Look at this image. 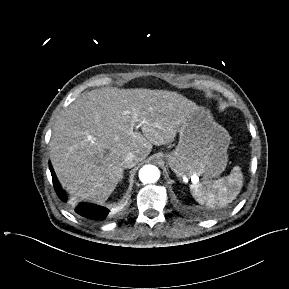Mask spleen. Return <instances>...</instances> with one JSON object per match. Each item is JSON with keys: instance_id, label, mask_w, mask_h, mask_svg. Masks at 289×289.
Segmentation results:
<instances>
[{"instance_id": "1", "label": "spleen", "mask_w": 289, "mask_h": 289, "mask_svg": "<svg viewBox=\"0 0 289 289\" xmlns=\"http://www.w3.org/2000/svg\"><path fill=\"white\" fill-rule=\"evenodd\" d=\"M243 174L239 166H235L228 176L218 180H204L193 183L190 187L193 197L201 205L207 207H225L231 203L241 191Z\"/></svg>"}]
</instances>
